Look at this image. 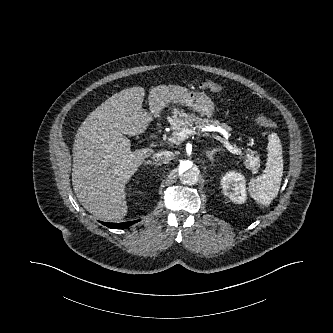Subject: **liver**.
Wrapping results in <instances>:
<instances>
[{
    "instance_id": "1",
    "label": "liver",
    "mask_w": 333,
    "mask_h": 333,
    "mask_svg": "<svg viewBox=\"0 0 333 333\" xmlns=\"http://www.w3.org/2000/svg\"><path fill=\"white\" fill-rule=\"evenodd\" d=\"M186 91L178 85L152 88L148 114L142 109L144 88H127L88 115L77 131L72 169L73 189L88 212L108 221H119L126 216L125 185L153 150L143 148L132 152L131 142L125 135L143 133L152 115L158 117Z\"/></svg>"
}]
</instances>
